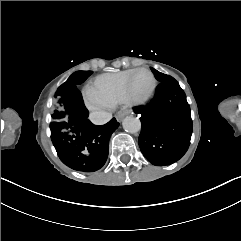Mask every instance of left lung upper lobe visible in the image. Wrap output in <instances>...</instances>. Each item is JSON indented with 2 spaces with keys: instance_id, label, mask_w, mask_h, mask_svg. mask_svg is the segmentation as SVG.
Masks as SVG:
<instances>
[{
  "instance_id": "5c2ea615",
  "label": "left lung upper lobe",
  "mask_w": 241,
  "mask_h": 241,
  "mask_svg": "<svg viewBox=\"0 0 241 241\" xmlns=\"http://www.w3.org/2000/svg\"><path fill=\"white\" fill-rule=\"evenodd\" d=\"M152 72L154 73L156 79L160 82H164V81H167V80H170L172 79L171 76L169 75H165L157 70H155L154 68H151Z\"/></svg>"
}]
</instances>
